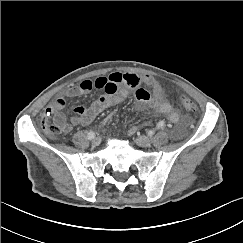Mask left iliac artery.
Here are the masks:
<instances>
[{"label":"left iliac artery","instance_id":"44dca946","mask_svg":"<svg viewBox=\"0 0 243 243\" xmlns=\"http://www.w3.org/2000/svg\"><path fill=\"white\" fill-rule=\"evenodd\" d=\"M164 125H165L164 121H160V122H158L156 129H161L164 127ZM153 134H154V131H152V130H150L148 132V135H150V136H152Z\"/></svg>","mask_w":243,"mask_h":243}]
</instances>
